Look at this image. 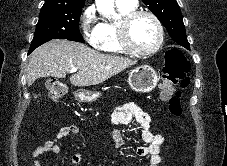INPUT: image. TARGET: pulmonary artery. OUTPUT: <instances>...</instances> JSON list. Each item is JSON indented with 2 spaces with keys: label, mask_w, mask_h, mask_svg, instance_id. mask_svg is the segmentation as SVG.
I'll return each mask as SVG.
<instances>
[{
  "label": "pulmonary artery",
  "mask_w": 227,
  "mask_h": 166,
  "mask_svg": "<svg viewBox=\"0 0 227 166\" xmlns=\"http://www.w3.org/2000/svg\"><path fill=\"white\" fill-rule=\"evenodd\" d=\"M116 3L122 4L128 7H136L138 0H115Z\"/></svg>",
  "instance_id": "1"
}]
</instances>
